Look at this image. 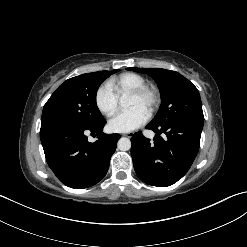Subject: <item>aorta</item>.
Listing matches in <instances>:
<instances>
[{
	"label": "aorta",
	"mask_w": 247,
	"mask_h": 247,
	"mask_svg": "<svg viewBox=\"0 0 247 247\" xmlns=\"http://www.w3.org/2000/svg\"><path fill=\"white\" fill-rule=\"evenodd\" d=\"M122 106H127V102L125 100L121 101ZM117 147L121 151H128L131 148V141L129 138L122 137L118 140Z\"/></svg>",
	"instance_id": "1"
}]
</instances>
